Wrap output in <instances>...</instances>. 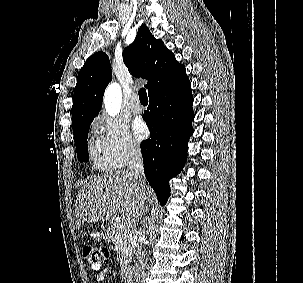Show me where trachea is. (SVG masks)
<instances>
[{"label":"trachea","instance_id":"obj_1","mask_svg":"<svg viewBox=\"0 0 303 283\" xmlns=\"http://www.w3.org/2000/svg\"><path fill=\"white\" fill-rule=\"evenodd\" d=\"M139 99L140 101H148L147 93L145 88L139 90Z\"/></svg>","mask_w":303,"mask_h":283}]
</instances>
